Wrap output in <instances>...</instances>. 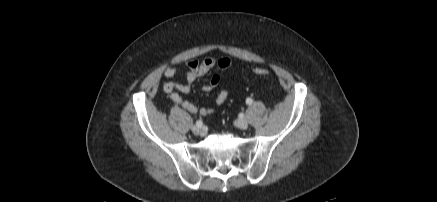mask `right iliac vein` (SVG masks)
Segmentation results:
<instances>
[{
  "instance_id": "63e3f726",
  "label": "right iliac vein",
  "mask_w": 437,
  "mask_h": 202,
  "mask_svg": "<svg viewBox=\"0 0 437 202\" xmlns=\"http://www.w3.org/2000/svg\"><path fill=\"white\" fill-rule=\"evenodd\" d=\"M192 131H193V133L194 134H196V135H202V134H204V129L202 128V127H198V126H193L192 127Z\"/></svg>"
}]
</instances>
